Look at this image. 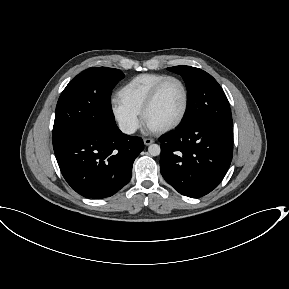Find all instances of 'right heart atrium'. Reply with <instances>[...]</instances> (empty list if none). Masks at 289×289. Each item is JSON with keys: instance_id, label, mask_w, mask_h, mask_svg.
<instances>
[{"instance_id": "1", "label": "right heart atrium", "mask_w": 289, "mask_h": 289, "mask_svg": "<svg viewBox=\"0 0 289 289\" xmlns=\"http://www.w3.org/2000/svg\"><path fill=\"white\" fill-rule=\"evenodd\" d=\"M111 112L124 133L133 134L139 128L141 122L139 114L127 108L119 101L112 102Z\"/></svg>"}]
</instances>
